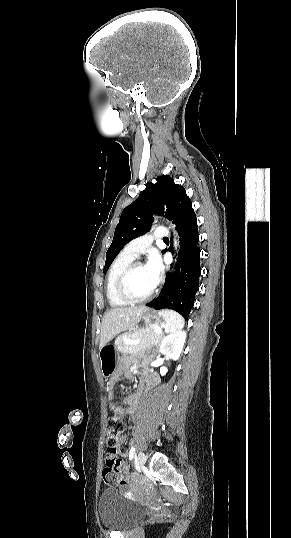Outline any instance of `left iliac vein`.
Here are the masks:
<instances>
[{
	"label": "left iliac vein",
	"instance_id": "4c4485c4",
	"mask_svg": "<svg viewBox=\"0 0 291 538\" xmlns=\"http://www.w3.org/2000/svg\"><path fill=\"white\" fill-rule=\"evenodd\" d=\"M137 462L139 466H143L146 462V456L142 451L138 453Z\"/></svg>",
	"mask_w": 291,
	"mask_h": 538
}]
</instances>
